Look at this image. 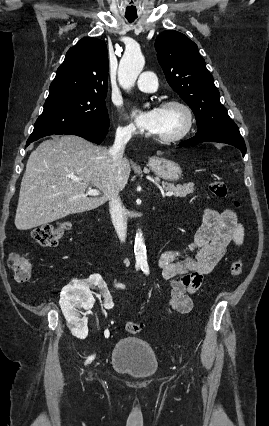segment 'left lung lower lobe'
<instances>
[{
    "label": "left lung lower lobe",
    "instance_id": "1",
    "mask_svg": "<svg viewBox=\"0 0 269 426\" xmlns=\"http://www.w3.org/2000/svg\"><path fill=\"white\" fill-rule=\"evenodd\" d=\"M199 142L226 143L238 148L242 152L243 157L246 153L244 139L239 132L238 126L231 119L221 122L216 126L198 128L194 137L181 142L179 146Z\"/></svg>",
    "mask_w": 269,
    "mask_h": 426
}]
</instances>
